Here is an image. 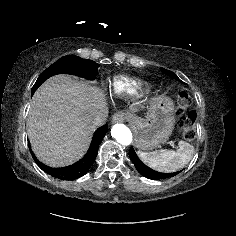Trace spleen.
<instances>
[{
	"label": "spleen",
	"mask_w": 236,
	"mask_h": 236,
	"mask_svg": "<svg viewBox=\"0 0 236 236\" xmlns=\"http://www.w3.org/2000/svg\"><path fill=\"white\" fill-rule=\"evenodd\" d=\"M178 147L176 151L164 149L151 153L138 151V156L154 170L174 172L188 164L195 152L194 146L185 141H179Z\"/></svg>",
	"instance_id": "3e777b00"
}]
</instances>
